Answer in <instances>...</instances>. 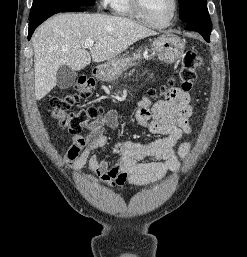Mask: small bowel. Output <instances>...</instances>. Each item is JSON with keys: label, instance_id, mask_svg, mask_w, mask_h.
<instances>
[{"label": "small bowel", "instance_id": "small-bowel-1", "mask_svg": "<svg viewBox=\"0 0 247 257\" xmlns=\"http://www.w3.org/2000/svg\"><path fill=\"white\" fill-rule=\"evenodd\" d=\"M163 99L152 104L148 96L137 102L136 119L151 133L161 135L151 142L117 141L112 153L117 155L114 164L100 159L96 151L108 144L106 128L118 127V115L113 109L95 119L85 135H74L64 155L71 168L78 171L86 165L98 180L112 186L125 184L146 185L158 182L168 172L179 169L180 161L190 151L191 142L179 144L184 135L192 132L190 95L179 88L162 91ZM89 180H97L91 175Z\"/></svg>", "mask_w": 247, "mask_h": 257}]
</instances>
